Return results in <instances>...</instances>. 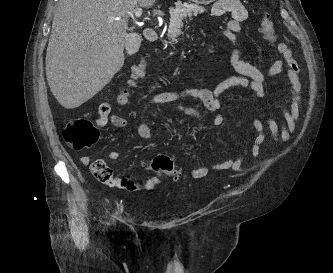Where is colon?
Instances as JSON below:
<instances>
[{"mask_svg":"<svg viewBox=\"0 0 333 273\" xmlns=\"http://www.w3.org/2000/svg\"><path fill=\"white\" fill-rule=\"evenodd\" d=\"M259 32L271 45L275 44L276 35L274 23L269 14H264ZM99 132L96 126L88 119L78 118L71 120L63 130V138L67 145L74 150H82L95 144ZM143 166L159 174H167L175 180L182 178L171 158L158 155L152 160L143 163ZM92 174L102 183L112 184L114 181L113 170L102 159H97L90 164Z\"/></svg>","mask_w":333,"mask_h":273,"instance_id":"1","label":"colon"}]
</instances>
